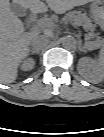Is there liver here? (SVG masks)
<instances>
[{"label":"liver","instance_id":"obj_1","mask_svg":"<svg viewBox=\"0 0 104 137\" xmlns=\"http://www.w3.org/2000/svg\"><path fill=\"white\" fill-rule=\"evenodd\" d=\"M94 0H46L48 7L57 14ZM14 4L38 14L47 11L40 0H12ZM36 33H25L22 21L10 10L8 0L0 6V81L13 83L17 78L19 64L28 56L29 45Z\"/></svg>","mask_w":104,"mask_h":137}]
</instances>
